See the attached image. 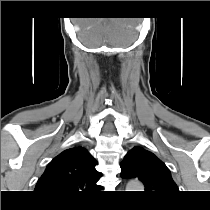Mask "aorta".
I'll use <instances>...</instances> for the list:
<instances>
[{
    "mask_svg": "<svg viewBox=\"0 0 210 210\" xmlns=\"http://www.w3.org/2000/svg\"><path fill=\"white\" fill-rule=\"evenodd\" d=\"M143 188V185L138 181H131L127 185V189H129L128 191H143Z\"/></svg>",
    "mask_w": 210,
    "mask_h": 210,
    "instance_id": "aorta-1",
    "label": "aorta"
}]
</instances>
